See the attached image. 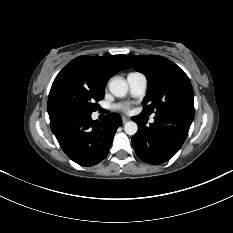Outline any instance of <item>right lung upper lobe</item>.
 Segmentation results:
<instances>
[{
	"label": "right lung upper lobe",
	"mask_w": 233,
	"mask_h": 233,
	"mask_svg": "<svg viewBox=\"0 0 233 233\" xmlns=\"http://www.w3.org/2000/svg\"><path fill=\"white\" fill-rule=\"evenodd\" d=\"M127 68L128 65L122 59V55L79 56L69 62L55 80L69 77L104 89L111 76Z\"/></svg>",
	"instance_id": "obj_1"
}]
</instances>
